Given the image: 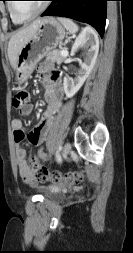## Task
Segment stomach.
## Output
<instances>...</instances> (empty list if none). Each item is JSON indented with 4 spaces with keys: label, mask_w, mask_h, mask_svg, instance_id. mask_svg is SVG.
<instances>
[{
    "label": "stomach",
    "mask_w": 133,
    "mask_h": 253,
    "mask_svg": "<svg viewBox=\"0 0 133 253\" xmlns=\"http://www.w3.org/2000/svg\"><path fill=\"white\" fill-rule=\"evenodd\" d=\"M66 35L63 26L53 17L42 19L35 35L22 47L16 62V81L27 80L36 64L49 51L62 43Z\"/></svg>",
    "instance_id": "1"
}]
</instances>
